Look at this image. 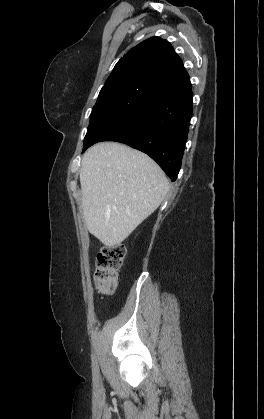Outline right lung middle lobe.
<instances>
[{
    "label": "right lung middle lobe",
    "instance_id": "obj_1",
    "mask_svg": "<svg viewBox=\"0 0 264 419\" xmlns=\"http://www.w3.org/2000/svg\"><path fill=\"white\" fill-rule=\"evenodd\" d=\"M154 97L130 85L102 88L90 115L83 152L125 123L140 104Z\"/></svg>",
    "mask_w": 264,
    "mask_h": 419
}]
</instances>
